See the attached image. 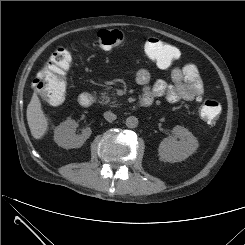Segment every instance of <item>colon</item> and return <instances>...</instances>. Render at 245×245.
Returning a JSON list of instances; mask_svg holds the SVG:
<instances>
[{
	"instance_id": "obj_1",
	"label": "colon",
	"mask_w": 245,
	"mask_h": 245,
	"mask_svg": "<svg viewBox=\"0 0 245 245\" xmlns=\"http://www.w3.org/2000/svg\"><path fill=\"white\" fill-rule=\"evenodd\" d=\"M125 35L120 30L100 31L94 44L102 49H111L121 45ZM144 53L160 67H168L179 59L177 49L158 38H149L143 43ZM70 66L69 52L66 49L55 51L40 76L33 77V87L42 99L49 104L56 105L64 101L67 94L66 74ZM220 104L213 99L200 102L199 114L210 126L214 125L220 114Z\"/></svg>"
}]
</instances>
